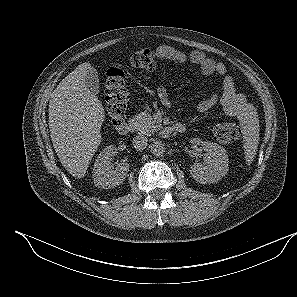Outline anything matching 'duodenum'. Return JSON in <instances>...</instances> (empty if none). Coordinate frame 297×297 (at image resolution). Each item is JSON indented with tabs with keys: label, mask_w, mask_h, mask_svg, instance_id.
Listing matches in <instances>:
<instances>
[{
	"label": "duodenum",
	"mask_w": 297,
	"mask_h": 297,
	"mask_svg": "<svg viewBox=\"0 0 297 297\" xmlns=\"http://www.w3.org/2000/svg\"><path fill=\"white\" fill-rule=\"evenodd\" d=\"M135 127V123L133 121H123L121 123H119L117 125V132L121 135H127L130 132H132V130ZM184 131V126L180 123L177 124H173L170 126L165 127L162 131H161V135L166 137L169 136L173 133H182Z\"/></svg>",
	"instance_id": "obj_1"
}]
</instances>
